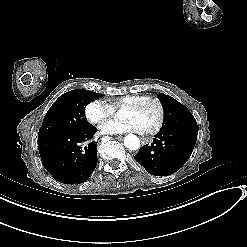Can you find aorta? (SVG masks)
<instances>
[{
  "label": "aorta",
  "mask_w": 247,
  "mask_h": 247,
  "mask_svg": "<svg viewBox=\"0 0 247 247\" xmlns=\"http://www.w3.org/2000/svg\"><path fill=\"white\" fill-rule=\"evenodd\" d=\"M117 115L120 117L122 115V111H119ZM124 145L129 150H137L140 147V140L134 134H128L124 138Z\"/></svg>",
  "instance_id": "obj_1"
}]
</instances>
